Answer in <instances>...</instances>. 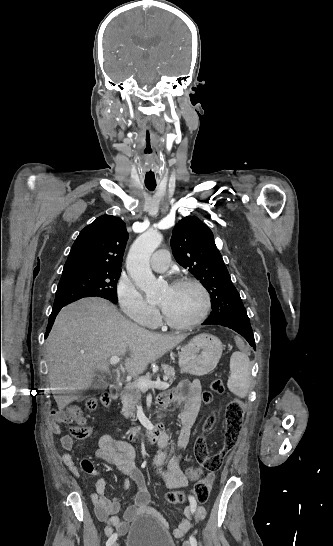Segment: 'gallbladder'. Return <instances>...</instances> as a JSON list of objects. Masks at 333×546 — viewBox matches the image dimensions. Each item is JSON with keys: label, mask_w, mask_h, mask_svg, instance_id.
Returning <instances> with one entry per match:
<instances>
[{"label": "gallbladder", "mask_w": 333, "mask_h": 546, "mask_svg": "<svg viewBox=\"0 0 333 546\" xmlns=\"http://www.w3.org/2000/svg\"><path fill=\"white\" fill-rule=\"evenodd\" d=\"M107 386H108V382L104 378L100 376H95L90 386V391L91 392L102 391L106 389Z\"/></svg>", "instance_id": "1"}]
</instances>
